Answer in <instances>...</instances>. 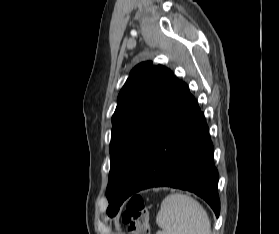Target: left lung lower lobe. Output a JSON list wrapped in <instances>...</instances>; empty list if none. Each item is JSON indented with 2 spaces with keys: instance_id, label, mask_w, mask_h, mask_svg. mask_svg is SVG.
I'll return each mask as SVG.
<instances>
[{
  "instance_id": "left-lung-lower-lobe-1",
  "label": "left lung lower lobe",
  "mask_w": 279,
  "mask_h": 234,
  "mask_svg": "<svg viewBox=\"0 0 279 234\" xmlns=\"http://www.w3.org/2000/svg\"><path fill=\"white\" fill-rule=\"evenodd\" d=\"M158 186L194 192L219 216L218 172L208 126L188 86L176 77L139 145L120 199Z\"/></svg>"
}]
</instances>
